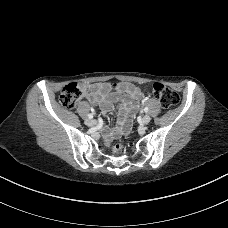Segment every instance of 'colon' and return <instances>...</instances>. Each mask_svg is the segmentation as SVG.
I'll use <instances>...</instances> for the list:
<instances>
[{"label":"colon","instance_id":"colon-1","mask_svg":"<svg viewBox=\"0 0 228 228\" xmlns=\"http://www.w3.org/2000/svg\"><path fill=\"white\" fill-rule=\"evenodd\" d=\"M89 90V85L85 83H70L62 89L59 97L60 103L65 108H73L81 98L88 94ZM151 93L158 99L161 106L166 109L175 106L179 101L178 95L162 83H154L151 86ZM122 149L123 146L121 144H116L113 147V153L119 154Z\"/></svg>","mask_w":228,"mask_h":228}]
</instances>
